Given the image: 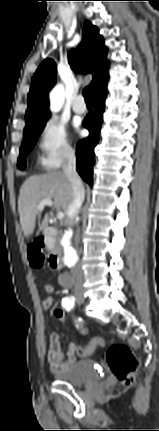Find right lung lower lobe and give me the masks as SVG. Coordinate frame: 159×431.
<instances>
[{"instance_id": "1", "label": "right lung lower lobe", "mask_w": 159, "mask_h": 431, "mask_svg": "<svg viewBox=\"0 0 159 431\" xmlns=\"http://www.w3.org/2000/svg\"><path fill=\"white\" fill-rule=\"evenodd\" d=\"M107 93V81L95 89V109L91 114H88L83 121V126L90 131V135L77 144V171L82 179L89 185H92L93 182V165L95 163L94 148L99 141Z\"/></svg>"}]
</instances>
